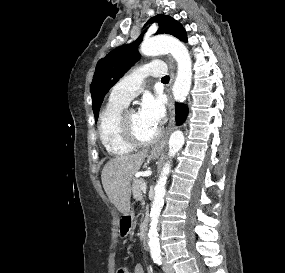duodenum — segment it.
<instances>
[{"label": "duodenum", "mask_w": 285, "mask_h": 273, "mask_svg": "<svg viewBox=\"0 0 285 273\" xmlns=\"http://www.w3.org/2000/svg\"><path fill=\"white\" fill-rule=\"evenodd\" d=\"M142 241H143V247L145 249H148L149 237L146 233L144 234Z\"/></svg>", "instance_id": "410a0bca"}]
</instances>
